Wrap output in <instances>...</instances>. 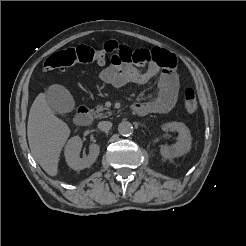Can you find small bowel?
I'll use <instances>...</instances> for the list:
<instances>
[{"instance_id":"small-bowel-1","label":"small bowel","mask_w":246,"mask_h":246,"mask_svg":"<svg viewBox=\"0 0 246 246\" xmlns=\"http://www.w3.org/2000/svg\"><path fill=\"white\" fill-rule=\"evenodd\" d=\"M104 51L111 56V63L100 73V79L114 87L128 83L147 84L159 75L158 95L150 101L138 102L133 110L140 115L163 114L176 104L179 93V76L176 57L162 48L133 50L115 40H107Z\"/></svg>"}]
</instances>
